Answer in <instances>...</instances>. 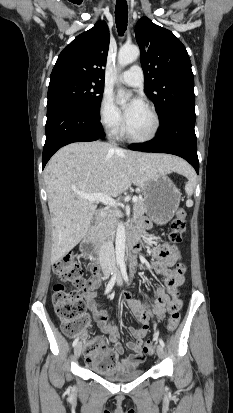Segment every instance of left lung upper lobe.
I'll list each match as a JSON object with an SVG mask.
<instances>
[{
    "instance_id": "obj_1",
    "label": "left lung upper lobe",
    "mask_w": 233,
    "mask_h": 413,
    "mask_svg": "<svg viewBox=\"0 0 233 413\" xmlns=\"http://www.w3.org/2000/svg\"><path fill=\"white\" fill-rule=\"evenodd\" d=\"M135 35L145 89L161 120L179 112L195 116L194 77L182 42L147 17L137 22Z\"/></svg>"
}]
</instances>
